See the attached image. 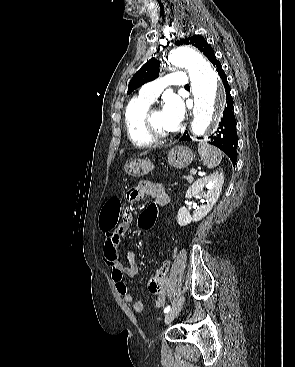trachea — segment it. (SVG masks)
<instances>
[{"label":"trachea","instance_id":"trachea-1","mask_svg":"<svg viewBox=\"0 0 295 367\" xmlns=\"http://www.w3.org/2000/svg\"><path fill=\"white\" fill-rule=\"evenodd\" d=\"M185 87H186V88H189V85H186Z\"/></svg>","mask_w":295,"mask_h":367}]
</instances>
